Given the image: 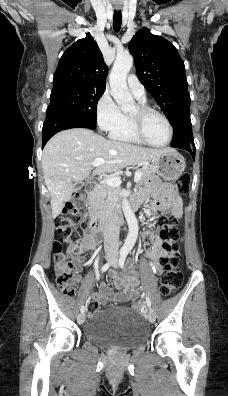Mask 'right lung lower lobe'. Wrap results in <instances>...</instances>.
<instances>
[{"label": "right lung lower lobe", "mask_w": 228, "mask_h": 396, "mask_svg": "<svg viewBox=\"0 0 228 396\" xmlns=\"http://www.w3.org/2000/svg\"><path fill=\"white\" fill-rule=\"evenodd\" d=\"M70 128L95 129L96 124L60 109L47 110L42 129L43 147L55 133Z\"/></svg>", "instance_id": "1"}]
</instances>
